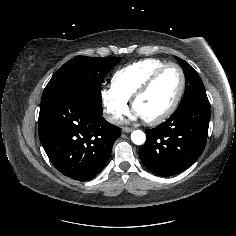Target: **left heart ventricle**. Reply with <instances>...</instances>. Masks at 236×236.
Returning <instances> with one entry per match:
<instances>
[{
    "mask_svg": "<svg viewBox=\"0 0 236 236\" xmlns=\"http://www.w3.org/2000/svg\"><path fill=\"white\" fill-rule=\"evenodd\" d=\"M179 87V72L173 67L168 68L156 80L150 90L138 99L135 112L142 119H153L159 116L175 99Z\"/></svg>",
    "mask_w": 236,
    "mask_h": 236,
    "instance_id": "left-heart-ventricle-1",
    "label": "left heart ventricle"
}]
</instances>
